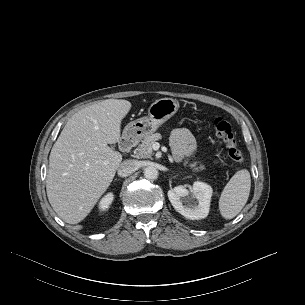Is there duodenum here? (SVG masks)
<instances>
[{
  "label": "duodenum",
  "instance_id": "obj_1",
  "mask_svg": "<svg viewBox=\"0 0 305 305\" xmlns=\"http://www.w3.org/2000/svg\"><path fill=\"white\" fill-rule=\"evenodd\" d=\"M135 142H136V137L132 134H127L121 139L119 143V147L122 151L126 152L133 147Z\"/></svg>",
  "mask_w": 305,
  "mask_h": 305
}]
</instances>
